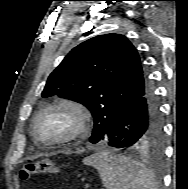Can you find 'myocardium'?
Masks as SVG:
<instances>
[{
    "instance_id": "f54148a6",
    "label": "myocardium",
    "mask_w": 188,
    "mask_h": 189,
    "mask_svg": "<svg viewBox=\"0 0 188 189\" xmlns=\"http://www.w3.org/2000/svg\"><path fill=\"white\" fill-rule=\"evenodd\" d=\"M62 110L67 111L72 116L73 126L63 136L54 139H41L37 135V125L43 115L50 111ZM91 124V116L87 108L78 100L68 97L57 98L45 104L35 115L32 125L31 133L33 138L42 145H57L76 140L85 135Z\"/></svg>"
}]
</instances>
